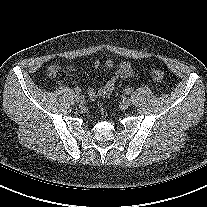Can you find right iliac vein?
<instances>
[{
    "label": "right iliac vein",
    "instance_id": "1",
    "mask_svg": "<svg viewBox=\"0 0 207 207\" xmlns=\"http://www.w3.org/2000/svg\"><path fill=\"white\" fill-rule=\"evenodd\" d=\"M75 99H76V101H77L79 104H83V103H84V97H83L82 95H80V94H77V95L75 96Z\"/></svg>",
    "mask_w": 207,
    "mask_h": 207
}]
</instances>
